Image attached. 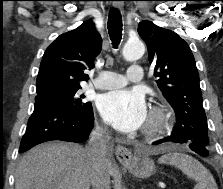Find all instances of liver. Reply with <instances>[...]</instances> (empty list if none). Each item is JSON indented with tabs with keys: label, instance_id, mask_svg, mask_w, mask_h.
<instances>
[{
	"label": "liver",
	"instance_id": "1",
	"mask_svg": "<svg viewBox=\"0 0 223 189\" xmlns=\"http://www.w3.org/2000/svg\"><path fill=\"white\" fill-rule=\"evenodd\" d=\"M90 168L86 149L78 144H40L19 162L15 189H90ZM108 171L113 175L110 161Z\"/></svg>",
	"mask_w": 223,
	"mask_h": 189
}]
</instances>
